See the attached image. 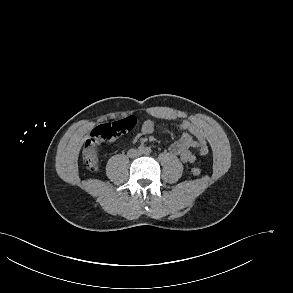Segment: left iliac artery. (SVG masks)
<instances>
[{"label":"left iliac artery","instance_id":"1","mask_svg":"<svg viewBox=\"0 0 293 293\" xmlns=\"http://www.w3.org/2000/svg\"><path fill=\"white\" fill-rule=\"evenodd\" d=\"M151 152H152V150H151L150 147H147V148L145 149V153H146L147 155H149Z\"/></svg>","mask_w":293,"mask_h":293}]
</instances>
